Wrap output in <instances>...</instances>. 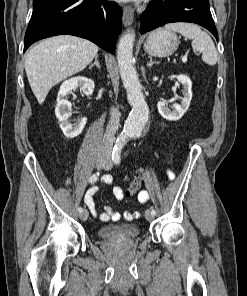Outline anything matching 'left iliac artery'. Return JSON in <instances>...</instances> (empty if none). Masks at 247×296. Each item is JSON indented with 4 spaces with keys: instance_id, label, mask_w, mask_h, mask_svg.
I'll return each mask as SVG.
<instances>
[{
    "instance_id": "left-iliac-artery-1",
    "label": "left iliac artery",
    "mask_w": 247,
    "mask_h": 296,
    "mask_svg": "<svg viewBox=\"0 0 247 296\" xmlns=\"http://www.w3.org/2000/svg\"><path fill=\"white\" fill-rule=\"evenodd\" d=\"M112 160L116 165H118L120 163V152H113L112 153ZM151 212L154 215L156 214V211L154 209H152Z\"/></svg>"
}]
</instances>
